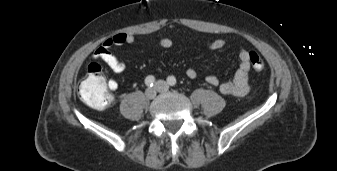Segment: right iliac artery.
I'll list each match as a JSON object with an SVG mask.
<instances>
[{
  "instance_id": "right-iliac-artery-1",
  "label": "right iliac artery",
  "mask_w": 337,
  "mask_h": 171,
  "mask_svg": "<svg viewBox=\"0 0 337 171\" xmlns=\"http://www.w3.org/2000/svg\"><path fill=\"white\" fill-rule=\"evenodd\" d=\"M154 83H155V78H154V76L149 75V76L146 77V79H145V84H146L148 87H152V86L154 85Z\"/></svg>"
}]
</instances>
